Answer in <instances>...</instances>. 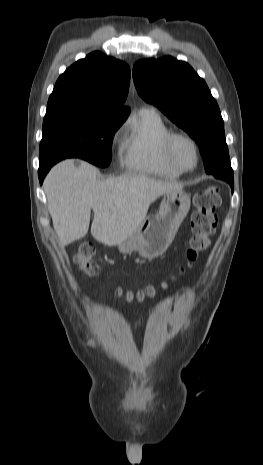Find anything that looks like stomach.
I'll return each instance as SVG.
<instances>
[{
	"label": "stomach",
	"mask_w": 263,
	"mask_h": 465,
	"mask_svg": "<svg viewBox=\"0 0 263 465\" xmlns=\"http://www.w3.org/2000/svg\"><path fill=\"white\" fill-rule=\"evenodd\" d=\"M190 209V196L184 191L165 193L159 212L146 217L118 249L123 254L138 251L145 259L162 255L173 241L175 234Z\"/></svg>",
	"instance_id": "obj_1"
}]
</instances>
